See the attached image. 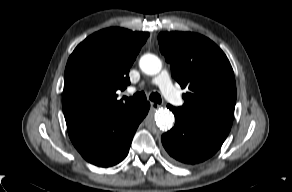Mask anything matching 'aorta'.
I'll list each match as a JSON object with an SVG mask.
<instances>
[{
  "label": "aorta",
  "mask_w": 292,
  "mask_h": 192,
  "mask_svg": "<svg viewBox=\"0 0 292 192\" xmlns=\"http://www.w3.org/2000/svg\"><path fill=\"white\" fill-rule=\"evenodd\" d=\"M139 67L143 73L147 75H157L162 69L161 60L154 54H144L139 61ZM174 115L167 109H159L156 111L154 119H147L146 126L148 129L155 131L168 130L173 126Z\"/></svg>",
  "instance_id": "1"
}]
</instances>
